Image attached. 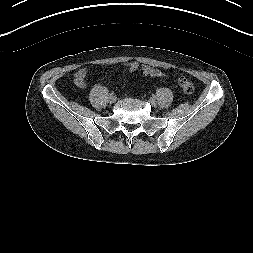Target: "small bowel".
Masks as SVG:
<instances>
[{"instance_id": "obj_1", "label": "small bowel", "mask_w": 253, "mask_h": 253, "mask_svg": "<svg viewBox=\"0 0 253 253\" xmlns=\"http://www.w3.org/2000/svg\"><path fill=\"white\" fill-rule=\"evenodd\" d=\"M130 72H136L141 71V73L145 76H151V77H164L165 74L160 71L159 69L142 65L140 66L136 62H129L126 64ZM87 78H88V68L83 67L79 69L75 74V84L79 88H85L87 86Z\"/></svg>"}]
</instances>
